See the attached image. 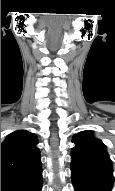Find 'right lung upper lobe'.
<instances>
[{"mask_svg": "<svg viewBox=\"0 0 115 191\" xmlns=\"http://www.w3.org/2000/svg\"><path fill=\"white\" fill-rule=\"evenodd\" d=\"M36 136L26 130L11 133L1 144V177L27 175L41 169Z\"/></svg>", "mask_w": 115, "mask_h": 191, "instance_id": "right-lung-upper-lobe-1", "label": "right lung upper lobe"}]
</instances>
